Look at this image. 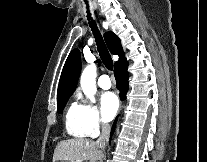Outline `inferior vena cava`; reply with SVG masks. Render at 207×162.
Segmentation results:
<instances>
[{
    "label": "inferior vena cava",
    "mask_w": 207,
    "mask_h": 162,
    "mask_svg": "<svg viewBox=\"0 0 207 162\" xmlns=\"http://www.w3.org/2000/svg\"><path fill=\"white\" fill-rule=\"evenodd\" d=\"M110 129L111 128L109 124L107 123L102 124L101 135L95 142L99 148L104 149L106 144L108 143L110 137Z\"/></svg>",
    "instance_id": "inferior-vena-cava-1"
}]
</instances>
